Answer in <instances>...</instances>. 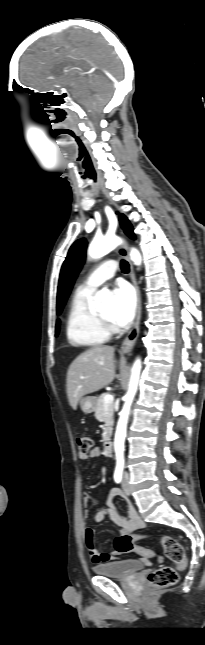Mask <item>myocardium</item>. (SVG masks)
I'll use <instances>...</instances> for the list:
<instances>
[{
    "instance_id": "1",
    "label": "myocardium",
    "mask_w": 205,
    "mask_h": 645,
    "mask_svg": "<svg viewBox=\"0 0 205 645\" xmlns=\"http://www.w3.org/2000/svg\"><path fill=\"white\" fill-rule=\"evenodd\" d=\"M97 317H98V319L100 320V322L102 323V325L104 326V328H105L109 333H110V332H114V331H115V327H114L113 321H112L111 319H108V318L104 317V316H103V315H101V314H97Z\"/></svg>"
}]
</instances>
